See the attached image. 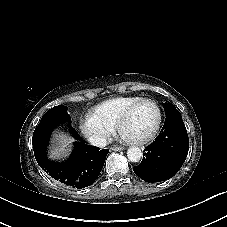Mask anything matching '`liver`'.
<instances>
[{
  "instance_id": "obj_1",
  "label": "liver",
  "mask_w": 227,
  "mask_h": 227,
  "mask_svg": "<svg viewBox=\"0 0 227 227\" xmlns=\"http://www.w3.org/2000/svg\"><path fill=\"white\" fill-rule=\"evenodd\" d=\"M75 138L65 132L55 131L52 135L53 146L50 147L48 158L51 160H64L72 150Z\"/></svg>"
}]
</instances>
